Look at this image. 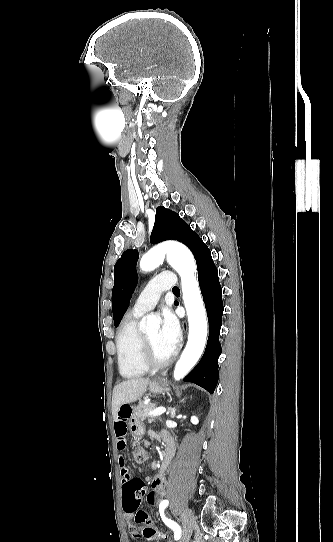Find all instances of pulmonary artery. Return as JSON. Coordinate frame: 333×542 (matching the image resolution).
I'll use <instances>...</instances> for the list:
<instances>
[{
  "label": "pulmonary artery",
  "mask_w": 333,
  "mask_h": 542,
  "mask_svg": "<svg viewBox=\"0 0 333 542\" xmlns=\"http://www.w3.org/2000/svg\"><path fill=\"white\" fill-rule=\"evenodd\" d=\"M175 281L176 276L172 275L169 270L156 274L153 279L149 280V285L145 289L146 293L143 290L138 295L131 313L140 316L154 309L163 292L170 291L175 286Z\"/></svg>",
  "instance_id": "pulmonary-artery-1"
}]
</instances>
